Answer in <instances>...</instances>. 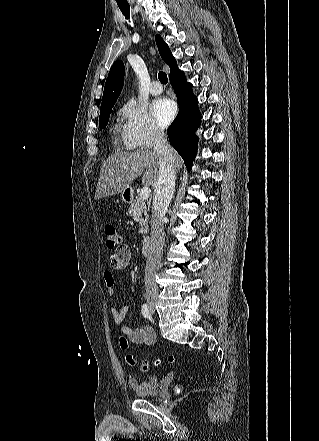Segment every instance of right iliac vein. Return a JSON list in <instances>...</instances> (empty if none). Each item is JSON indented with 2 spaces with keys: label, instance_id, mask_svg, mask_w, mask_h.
<instances>
[{
  "label": "right iliac vein",
  "instance_id": "right-iliac-vein-1",
  "mask_svg": "<svg viewBox=\"0 0 319 441\" xmlns=\"http://www.w3.org/2000/svg\"><path fill=\"white\" fill-rule=\"evenodd\" d=\"M148 306H149L150 310L154 311L155 306H156V302L154 300H149Z\"/></svg>",
  "mask_w": 319,
  "mask_h": 441
}]
</instances>
